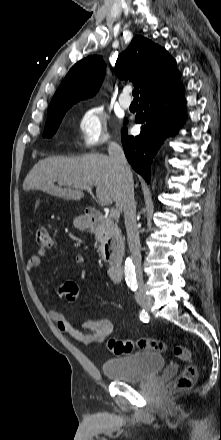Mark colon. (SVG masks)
I'll return each instance as SVG.
<instances>
[{"label": "colon", "mask_w": 221, "mask_h": 440, "mask_svg": "<svg viewBox=\"0 0 221 440\" xmlns=\"http://www.w3.org/2000/svg\"><path fill=\"white\" fill-rule=\"evenodd\" d=\"M36 243L39 247L48 249L52 246V239L46 227L40 226L35 233ZM58 294L66 301H75L78 297V287L72 281L63 282L58 288ZM108 349L116 355H124L133 352L136 349H149L157 352H165L168 345L159 340L149 338L136 339H115L111 338L107 342ZM172 353L186 365L180 375L168 386L167 391L190 389L194 386L197 378V368L193 364L192 352L182 345H174L171 348Z\"/></svg>", "instance_id": "5ec220e1"}]
</instances>
